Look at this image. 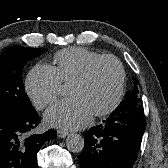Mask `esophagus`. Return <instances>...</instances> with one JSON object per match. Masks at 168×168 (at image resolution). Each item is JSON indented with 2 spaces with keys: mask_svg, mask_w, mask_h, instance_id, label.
I'll use <instances>...</instances> for the list:
<instances>
[{
  "mask_svg": "<svg viewBox=\"0 0 168 168\" xmlns=\"http://www.w3.org/2000/svg\"><path fill=\"white\" fill-rule=\"evenodd\" d=\"M69 135V132L68 131H63V130H58L57 131V136L59 138H65Z\"/></svg>",
  "mask_w": 168,
  "mask_h": 168,
  "instance_id": "1",
  "label": "esophagus"
}]
</instances>
